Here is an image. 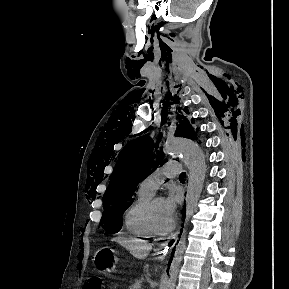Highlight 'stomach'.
Instances as JSON below:
<instances>
[{
  "instance_id": "1",
  "label": "stomach",
  "mask_w": 289,
  "mask_h": 289,
  "mask_svg": "<svg viewBox=\"0 0 289 289\" xmlns=\"http://www.w3.org/2000/svg\"><path fill=\"white\" fill-rule=\"evenodd\" d=\"M117 252L109 247L99 249L94 257V262L101 273H112L117 263Z\"/></svg>"
}]
</instances>
